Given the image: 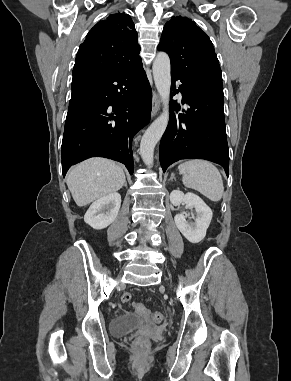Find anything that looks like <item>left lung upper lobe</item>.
Wrapping results in <instances>:
<instances>
[{
    "mask_svg": "<svg viewBox=\"0 0 291 381\" xmlns=\"http://www.w3.org/2000/svg\"><path fill=\"white\" fill-rule=\"evenodd\" d=\"M158 50L169 54L171 72L204 89H222L220 65L210 38L191 19L172 17Z\"/></svg>",
    "mask_w": 291,
    "mask_h": 381,
    "instance_id": "obj_1",
    "label": "left lung upper lobe"
}]
</instances>
